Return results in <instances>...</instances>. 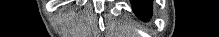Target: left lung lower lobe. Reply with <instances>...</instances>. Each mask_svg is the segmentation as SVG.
Wrapping results in <instances>:
<instances>
[{"instance_id": "obj_1", "label": "left lung lower lobe", "mask_w": 219, "mask_h": 37, "mask_svg": "<svg viewBox=\"0 0 219 37\" xmlns=\"http://www.w3.org/2000/svg\"><path fill=\"white\" fill-rule=\"evenodd\" d=\"M133 10L142 20H148L151 17L152 0H131Z\"/></svg>"}]
</instances>
